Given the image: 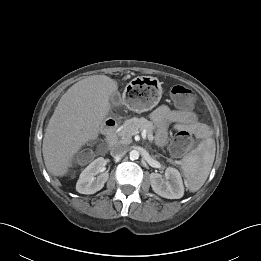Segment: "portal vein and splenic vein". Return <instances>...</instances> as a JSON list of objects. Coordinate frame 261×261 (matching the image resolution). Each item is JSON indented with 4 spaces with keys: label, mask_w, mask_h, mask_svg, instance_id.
<instances>
[{
    "label": "portal vein and splenic vein",
    "mask_w": 261,
    "mask_h": 261,
    "mask_svg": "<svg viewBox=\"0 0 261 261\" xmlns=\"http://www.w3.org/2000/svg\"><path fill=\"white\" fill-rule=\"evenodd\" d=\"M137 133H139V132H136L135 134H137ZM142 137H143L144 139H145L146 137H148V139H149L150 141L153 140V136H152V135H147L145 130L142 131Z\"/></svg>",
    "instance_id": "18ae733b"
}]
</instances>
